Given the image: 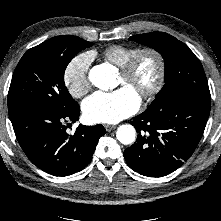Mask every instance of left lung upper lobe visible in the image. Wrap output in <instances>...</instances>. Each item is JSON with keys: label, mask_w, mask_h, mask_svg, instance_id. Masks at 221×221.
Returning a JSON list of instances; mask_svg holds the SVG:
<instances>
[{"label": "left lung upper lobe", "mask_w": 221, "mask_h": 221, "mask_svg": "<svg viewBox=\"0 0 221 221\" xmlns=\"http://www.w3.org/2000/svg\"><path fill=\"white\" fill-rule=\"evenodd\" d=\"M158 51L165 62V85L146 109L160 108L163 101L188 93L210 98L208 82L199 59L183 42L163 33L152 32L129 38Z\"/></svg>", "instance_id": "left-lung-upper-lobe-1"}]
</instances>
